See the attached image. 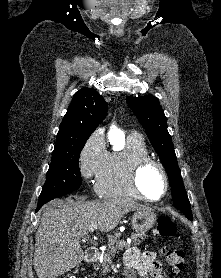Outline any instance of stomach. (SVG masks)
Instances as JSON below:
<instances>
[{"instance_id":"obj_1","label":"stomach","mask_w":221,"mask_h":278,"mask_svg":"<svg viewBox=\"0 0 221 278\" xmlns=\"http://www.w3.org/2000/svg\"><path fill=\"white\" fill-rule=\"evenodd\" d=\"M156 214L151 210H139L133 214L132 227L137 233H145L156 224Z\"/></svg>"}]
</instances>
